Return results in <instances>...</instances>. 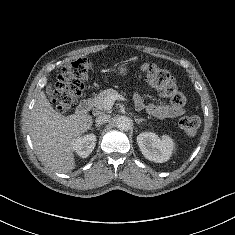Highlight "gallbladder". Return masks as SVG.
<instances>
[{
	"instance_id": "bac80fb5",
	"label": "gallbladder",
	"mask_w": 235,
	"mask_h": 235,
	"mask_svg": "<svg viewBox=\"0 0 235 235\" xmlns=\"http://www.w3.org/2000/svg\"><path fill=\"white\" fill-rule=\"evenodd\" d=\"M47 93H48L49 95H52V87H51V84H48V86H47Z\"/></svg>"
}]
</instances>
